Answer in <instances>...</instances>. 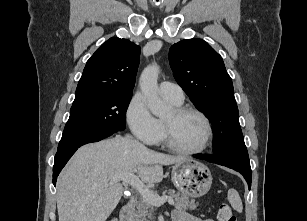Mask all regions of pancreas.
Segmentation results:
<instances>
[{
    "mask_svg": "<svg viewBox=\"0 0 307 221\" xmlns=\"http://www.w3.org/2000/svg\"><path fill=\"white\" fill-rule=\"evenodd\" d=\"M168 195L174 199V206L179 210H194L197 204L189 200L188 196L180 194L173 189L168 190ZM154 206L141 198L137 203V210L134 212L132 221H152L154 219Z\"/></svg>",
    "mask_w": 307,
    "mask_h": 221,
    "instance_id": "obj_1",
    "label": "pancreas"
}]
</instances>
